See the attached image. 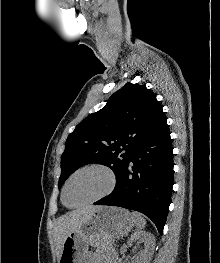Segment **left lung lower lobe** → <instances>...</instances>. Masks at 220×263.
<instances>
[{
    "instance_id": "left-lung-lower-lobe-1",
    "label": "left lung lower lobe",
    "mask_w": 220,
    "mask_h": 263,
    "mask_svg": "<svg viewBox=\"0 0 220 263\" xmlns=\"http://www.w3.org/2000/svg\"><path fill=\"white\" fill-rule=\"evenodd\" d=\"M172 159L173 147L165 117L135 146L113 192L94 204L141 212L162 234L171 202Z\"/></svg>"
}]
</instances>
